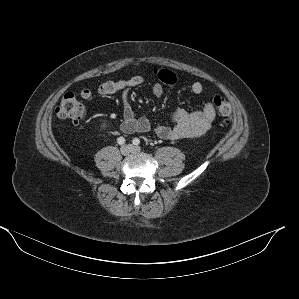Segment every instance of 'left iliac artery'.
Here are the masks:
<instances>
[{
  "label": "left iliac artery",
  "instance_id": "left-iliac-artery-1",
  "mask_svg": "<svg viewBox=\"0 0 299 299\" xmlns=\"http://www.w3.org/2000/svg\"><path fill=\"white\" fill-rule=\"evenodd\" d=\"M132 142H133L134 145H139L140 144V140L138 138H134Z\"/></svg>",
  "mask_w": 299,
  "mask_h": 299
}]
</instances>
